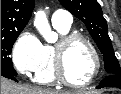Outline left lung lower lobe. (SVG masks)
<instances>
[{
	"mask_svg": "<svg viewBox=\"0 0 121 94\" xmlns=\"http://www.w3.org/2000/svg\"><path fill=\"white\" fill-rule=\"evenodd\" d=\"M117 87L121 89V75H110L103 79L99 86H97V89L103 88V87Z\"/></svg>",
	"mask_w": 121,
	"mask_h": 94,
	"instance_id": "left-lung-lower-lobe-1",
	"label": "left lung lower lobe"
}]
</instances>
